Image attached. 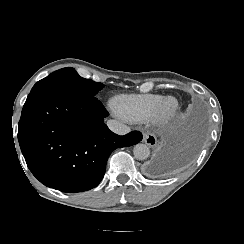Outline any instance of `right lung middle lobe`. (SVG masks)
Listing matches in <instances>:
<instances>
[{
  "instance_id": "1",
  "label": "right lung middle lobe",
  "mask_w": 244,
  "mask_h": 244,
  "mask_svg": "<svg viewBox=\"0 0 244 244\" xmlns=\"http://www.w3.org/2000/svg\"><path fill=\"white\" fill-rule=\"evenodd\" d=\"M103 87L104 85L101 83L80 77L74 68L66 67L38 81L31 92L59 90L91 97L95 96Z\"/></svg>"
}]
</instances>
